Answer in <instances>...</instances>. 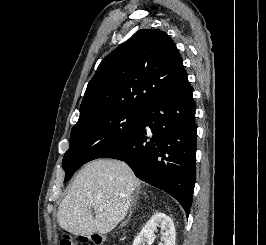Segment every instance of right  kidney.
Returning <instances> with one entry per match:
<instances>
[{
	"label": "right kidney",
	"mask_w": 266,
	"mask_h": 245,
	"mask_svg": "<svg viewBox=\"0 0 266 245\" xmlns=\"http://www.w3.org/2000/svg\"><path fill=\"white\" fill-rule=\"evenodd\" d=\"M158 227H160L161 233H163L162 241H164V245H175L174 223L165 213H155L146 223L145 227H143L142 231H140L139 235H137L136 239H134L133 245H151V243H154Z\"/></svg>",
	"instance_id": "right-kidney-1"
}]
</instances>
